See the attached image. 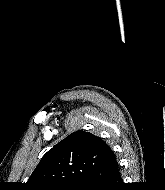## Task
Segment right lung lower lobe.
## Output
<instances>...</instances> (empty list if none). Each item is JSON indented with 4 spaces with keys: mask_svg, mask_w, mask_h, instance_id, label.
Masks as SVG:
<instances>
[{
    "mask_svg": "<svg viewBox=\"0 0 165 190\" xmlns=\"http://www.w3.org/2000/svg\"><path fill=\"white\" fill-rule=\"evenodd\" d=\"M80 190H123L116 158L94 168L81 179Z\"/></svg>",
    "mask_w": 165,
    "mask_h": 190,
    "instance_id": "1",
    "label": "right lung lower lobe"
}]
</instances>
